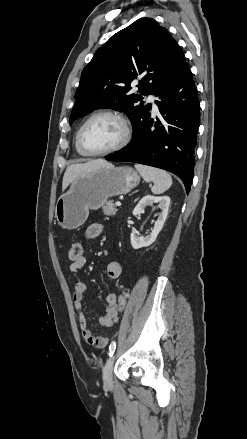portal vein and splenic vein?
Returning <instances> with one entry per match:
<instances>
[{"instance_id":"1","label":"portal vein and splenic vein","mask_w":247,"mask_h":439,"mask_svg":"<svg viewBox=\"0 0 247 439\" xmlns=\"http://www.w3.org/2000/svg\"><path fill=\"white\" fill-rule=\"evenodd\" d=\"M115 205H116V206H121V202L117 201V202L115 203Z\"/></svg>"}]
</instances>
